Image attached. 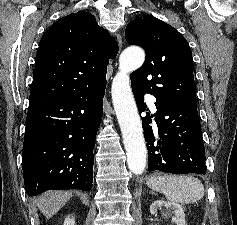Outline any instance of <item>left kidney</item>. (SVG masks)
Returning a JSON list of instances; mask_svg holds the SVG:
<instances>
[{
  "label": "left kidney",
  "instance_id": "1",
  "mask_svg": "<svg viewBox=\"0 0 237 225\" xmlns=\"http://www.w3.org/2000/svg\"><path fill=\"white\" fill-rule=\"evenodd\" d=\"M162 209L165 211L166 216H169V211L172 210V223H174L175 225H186L185 213L180 204H177L175 202H167L164 200H157L150 205V213L152 215L156 214L158 210Z\"/></svg>",
  "mask_w": 237,
  "mask_h": 225
}]
</instances>
